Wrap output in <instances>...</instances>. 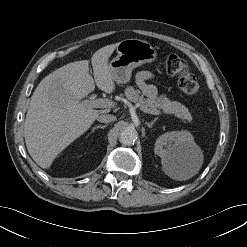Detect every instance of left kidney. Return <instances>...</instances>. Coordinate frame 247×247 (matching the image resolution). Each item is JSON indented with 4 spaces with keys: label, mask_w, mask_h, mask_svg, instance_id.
Wrapping results in <instances>:
<instances>
[{
    "label": "left kidney",
    "mask_w": 247,
    "mask_h": 247,
    "mask_svg": "<svg viewBox=\"0 0 247 247\" xmlns=\"http://www.w3.org/2000/svg\"><path fill=\"white\" fill-rule=\"evenodd\" d=\"M154 152L161 157L163 163H168L183 158L192 159L199 152V147L190 132L175 131L161 135L156 140Z\"/></svg>",
    "instance_id": "obj_1"
}]
</instances>
